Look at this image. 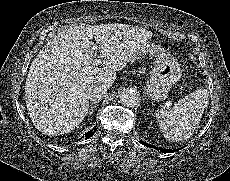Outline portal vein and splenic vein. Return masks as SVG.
Returning <instances> with one entry per match:
<instances>
[{"mask_svg": "<svg viewBox=\"0 0 230 181\" xmlns=\"http://www.w3.org/2000/svg\"><path fill=\"white\" fill-rule=\"evenodd\" d=\"M94 49H96V46H93ZM101 63V60L99 58L94 60V65H99Z\"/></svg>", "mask_w": 230, "mask_h": 181, "instance_id": "obj_1", "label": "portal vein and splenic vein"}]
</instances>
